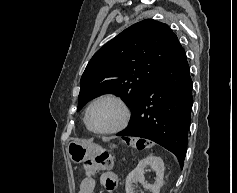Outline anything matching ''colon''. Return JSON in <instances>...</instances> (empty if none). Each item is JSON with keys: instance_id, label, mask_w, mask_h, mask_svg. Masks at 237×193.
Segmentation results:
<instances>
[{"instance_id": "colon-1", "label": "colon", "mask_w": 237, "mask_h": 193, "mask_svg": "<svg viewBox=\"0 0 237 193\" xmlns=\"http://www.w3.org/2000/svg\"><path fill=\"white\" fill-rule=\"evenodd\" d=\"M124 143L128 146H134L136 148H143L145 145L140 139H124ZM114 167V156L108 152L100 154L92 162H87L86 169L88 171H110Z\"/></svg>"}]
</instances>
